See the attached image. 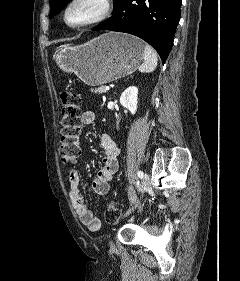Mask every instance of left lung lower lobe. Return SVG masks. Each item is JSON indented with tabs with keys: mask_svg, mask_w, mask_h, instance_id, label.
<instances>
[{
	"mask_svg": "<svg viewBox=\"0 0 240 281\" xmlns=\"http://www.w3.org/2000/svg\"><path fill=\"white\" fill-rule=\"evenodd\" d=\"M182 0H117L113 15L92 30L138 36L152 45L165 63L173 46Z\"/></svg>",
	"mask_w": 240,
	"mask_h": 281,
	"instance_id": "1",
	"label": "left lung lower lobe"
}]
</instances>
